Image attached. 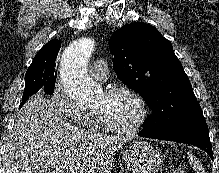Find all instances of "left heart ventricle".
Returning a JSON list of instances; mask_svg holds the SVG:
<instances>
[{
	"mask_svg": "<svg viewBox=\"0 0 219 173\" xmlns=\"http://www.w3.org/2000/svg\"><path fill=\"white\" fill-rule=\"evenodd\" d=\"M96 111L100 112L108 122L118 128L133 126L139 117V106L128 94L119 93L107 95L105 92L100 96Z\"/></svg>",
	"mask_w": 219,
	"mask_h": 173,
	"instance_id": "1",
	"label": "left heart ventricle"
}]
</instances>
